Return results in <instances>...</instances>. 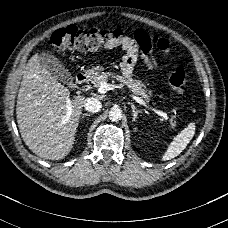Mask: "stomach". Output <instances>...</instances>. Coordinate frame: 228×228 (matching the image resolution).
<instances>
[{"instance_id": "1", "label": "stomach", "mask_w": 228, "mask_h": 228, "mask_svg": "<svg viewBox=\"0 0 228 228\" xmlns=\"http://www.w3.org/2000/svg\"><path fill=\"white\" fill-rule=\"evenodd\" d=\"M102 71H103V67L102 66H97V67H93L91 69L86 70L84 73L87 76L94 77V76L99 75Z\"/></svg>"}]
</instances>
